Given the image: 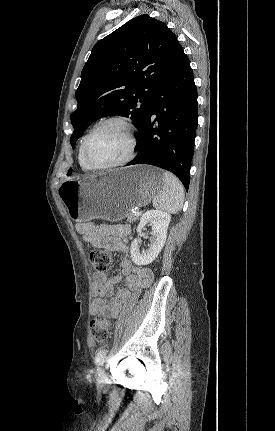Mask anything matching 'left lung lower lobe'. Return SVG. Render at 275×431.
<instances>
[{
    "instance_id": "0a47b994",
    "label": "left lung lower lobe",
    "mask_w": 275,
    "mask_h": 431,
    "mask_svg": "<svg viewBox=\"0 0 275 431\" xmlns=\"http://www.w3.org/2000/svg\"><path fill=\"white\" fill-rule=\"evenodd\" d=\"M197 108L193 71L180 47L136 137L138 154L126 166L150 164L166 169L188 190L198 124Z\"/></svg>"
}]
</instances>
